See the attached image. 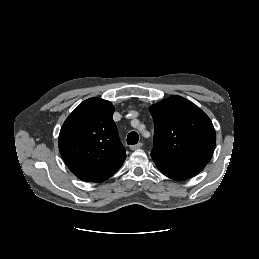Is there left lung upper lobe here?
Returning a JSON list of instances; mask_svg holds the SVG:
<instances>
[{
	"label": "left lung upper lobe",
	"mask_w": 259,
	"mask_h": 259,
	"mask_svg": "<svg viewBox=\"0 0 259 259\" xmlns=\"http://www.w3.org/2000/svg\"><path fill=\"white\" fill-rule=\"evenodd\" d=\"M154 119L151 154L180 162L207 164L216 144L209 117L191 101L174 95L149 108Z\"/></svg>",
	"instance_id": "5c2ea615"
}]
</instances>
